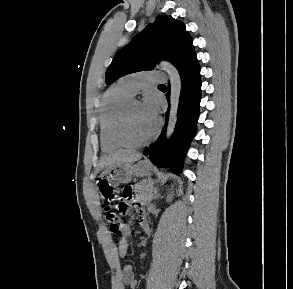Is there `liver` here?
Masks as SVG:
<instances>
[{
  "instance_id": "1",
  "label": "liver",
  "mask_w": 293,
  "mask_h": 289,
  "mask_svg": "<svg viewBox=\"0 0 293 289\" xmlns=\"http://www.w3.org/2000/svg\"><path fill=\"white\" fill-rule=\"evenodd\" d=\"M142 154L132 150H119L105 156L101 160V167L109 168L114 164L133 163L139 160Z\"/></svg>"
}]
</instances>
